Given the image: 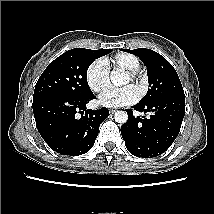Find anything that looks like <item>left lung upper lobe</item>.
Listing matches in <instances>:
<instances>
[{"instance_id": "left-lung-upper-lobe-1", "label": "left lung upper lobe", "mask_w": 214, "mask_h": 214, "mask_svg": "<svg viewBox=\"0 0 214 214\" xmlns=\"http://www.w3.org/2000/svg\"><path fill=\"white\" fill-rule=\"evenodd\" d=\"M123 51L138 56L147 67L150 88L139 103H149L165 97H185L177 72L159 53L146 48Z\"/></svg>"}]
</instances>
